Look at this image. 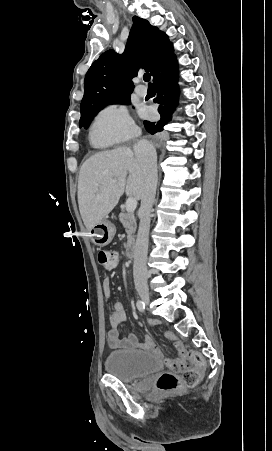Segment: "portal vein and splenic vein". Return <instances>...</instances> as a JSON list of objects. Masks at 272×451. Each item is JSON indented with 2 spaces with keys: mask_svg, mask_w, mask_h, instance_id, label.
Listing matches in <instances>:
<instances>
[{
  "mask_svg": "<svg viewBox=\"0 0 272 451\" xmlns=\"http://www.w3.org/2000/svg\"><path fill=\"white\" fill-rule=\"evenodd\" d=\"M115 182V180H114ZM136 206H137V200H135V198H128V200H126V210L129 214V212H134V210H136Z\"/></svg>",
  "mask_w": 272,
  "mask_h": 451,
  "instance_id": "obj_1",
  "label": "portal vein and splenic vein"
}]
</instances>
